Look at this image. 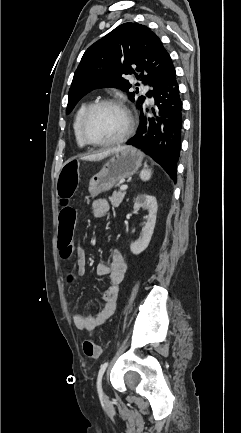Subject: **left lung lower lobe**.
<instances>
[{
    "instance_id": "1",
    "label": "left lung lower lobe",
    "mask_w": 241,
    "mask_h": 433,
    "mask_svg": "<svg viewBox=\"0 0 241 433\" xmlns=\"http://www.w3.org/2000/svg\"><path fill=\"white\" fill-rule=\"evenodd\" d=\"M150 97L154 106L140 111L138 131L127 144L152 157L176 181L177 161L181 148L182 101L171 64Z\"/></svg>"
}]
</instances>
